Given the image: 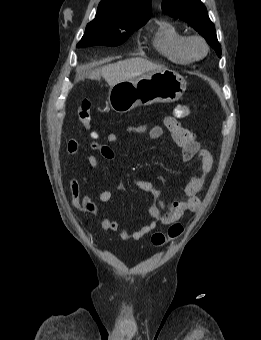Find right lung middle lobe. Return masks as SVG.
<instances>
[{
    "instance_id": "dd1d6c3e",
    "label": "right lung middle lobe",
    "mask_w": 261,
    "mask_h": 340,
    "mask_svg": "<svg viewBox=\"0 0 261 340\" xmlns=\"http://www.w3.org/2000/svg\"><path fill=\"white\" fill-rule=\"evenodd\" d=\"M146 22L147 20H112L96 15L95 19L87 24L77 47L120 45Z\"/></svg>"
}]
</instances>
